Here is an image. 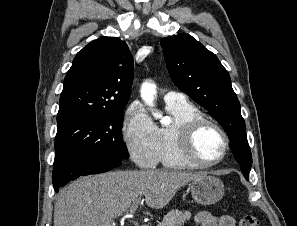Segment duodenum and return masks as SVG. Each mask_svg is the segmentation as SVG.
<instances>
[{
	"label": "duodenum",
	"instance_id": "obj_1",
	"mask_svg": "<svg viewBox=\"0 0 297 226\" xmlns=\"http://www.w3.org/2000/svg\"><path fill=\"white\" fill-rule=\"evenodd\" d=\"M140 226H148L147 224H142V225H140Z\"/></svg>",
	"mask_w": 297,
	"mask_h": 226
}]
</instances>
